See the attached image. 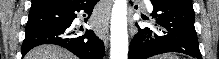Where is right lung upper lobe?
I'll return each instance as SVG.
<instances>
[{"mask_svg": "<svg viewBox=\"0 0 219 59\" xmlns=\"http://www.w3.org/2000/svg\"><path fill=\"white\" fill-rule=\"evenodd\" d=\"M70 1L72 0H32L31 9H36L45 5H63L69 3Z\"/></svg>", "mask_w": 219, "mask_h": 59, "instance_id": "cb5924a9", "label": "right lung upper lobe"}]
</instances>
